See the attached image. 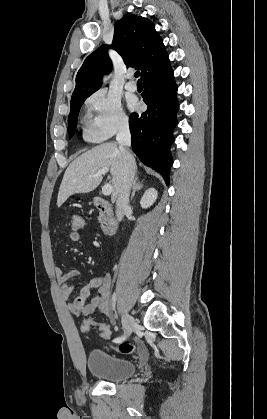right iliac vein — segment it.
Returning <instances> with one entry per match:
<instances>
[{
    "label": "right iliac vein",
    "mask_w": 267,
    "mask_h": 419,
    "mask_svg": "<svg viewBox=\"0 0 267 419\" xmlns=\"http://www.w3.org/2000/svg\"><path fill=\"white\" fill-rule=\"evenodd\" d=\"M122 324L125 337H127L131 334L135 325L133 318L127 312H123L122 314Z\"/></svg>",
    "instance_id": "obj_1"
}]
</instances>
